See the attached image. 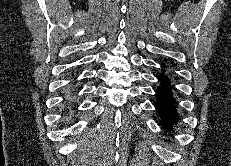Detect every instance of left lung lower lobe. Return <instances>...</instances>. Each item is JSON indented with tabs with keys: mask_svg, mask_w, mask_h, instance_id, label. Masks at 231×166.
<instances>
[{
	"mask_svg": "<svg viewBox=\"0 0 231 166\" xmlns=\"http://www.w3.org/2000/svg\"><path fill=\"white\" fill-rule=\"evenodd\" d=\"M161 67L165 68L164 64ZM161 86L156 90L158 101L156 102V110L161 118L160 123L164 129L172 130L174 124L178 122L177 106L172 92V86L169 77L165 71L161 70L158 76Z\"/></svg>",
	"mask_w": 231,
	"mask_h": 166,
	"instance_id": "obj_1",
	"label": "left lung lower lobe"
}]
</instances>
